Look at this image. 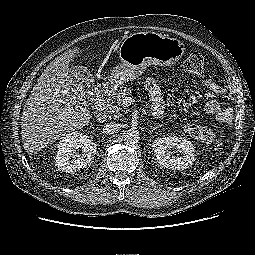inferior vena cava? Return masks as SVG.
<instances>
[{
  "label": "inferior vena cava",
  "instance_id": "1",
  "mask_svg": "<svg viewBox=\"0 0 255 255\" xmlns=\"http://www.w3.org/2000/svg\"><path fill=\"white\" fill-rule=\"evenodd\" d=\"M120 128V124L118 123H107L105 124V126L103 127V132L105 134H108V135H112L114 133H116Z\"/></svg>",
  "mask_w": 255,
  "mask_h": 255
}]
</instances>
